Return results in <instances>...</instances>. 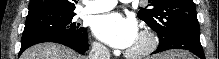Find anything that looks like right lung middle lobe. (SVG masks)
<instances>
[{
	"label": "right lung middle lobe",
	"instance_id": "obj_1",
	"mask_svg": "<svg viewBox=\"0 0 219 59\" xmlns=\"http://www.w3.org/2000/svg\"><path fill=\"white\" fill-rule=\"evenodd\" d=\"M74 12L39 10L28 13L21 46L55 37L86 41L87 29L73 21Z\"/></svg>",
	"mask_w": 219,
	"mask_h": 59
}]
</instances>
